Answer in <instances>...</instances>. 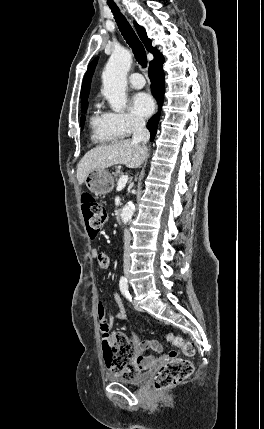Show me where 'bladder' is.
Listing matches in <instances>:
<instances>
[{
  "label": "bladder",
  "instance_id": "obj_1",
  "mask_svg": "<svg viewBox=\"0 0 264 429\" xmlns=\"http://www.w3.org/2000/svg\"><path fill=\"white\" fill-rule=\"evenodd\" d=\"M148 376V372L138 373L133 377H123L119 375L109 374L108 379L122 385L138 386L144 383L147 380Z\"/></svg>",
  "mask_w": 264,
  "mask_h": 429
}]
</instances>
